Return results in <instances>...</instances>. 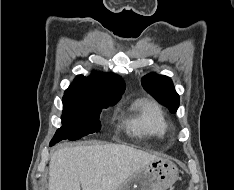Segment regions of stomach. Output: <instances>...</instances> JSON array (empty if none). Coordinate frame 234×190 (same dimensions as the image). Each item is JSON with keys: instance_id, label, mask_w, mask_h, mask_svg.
I'll list each match as a JSON object with an SVG mask.
<instances>
[{"instance_id": "0dacf381", "label": "stomach", "mask_w": 234, "mask_h": 190, "mask_svg": "<svg viewBox=\"0 0 234 190\" xmlns=\"http://www.w3.org/2000/svg\"><path fill=\"white\" fill-rule=\"evenodd\" d=\"M179 168L158 157L127 178L117 190H167L179 178Z\"/></svg>"}]
</instances>
